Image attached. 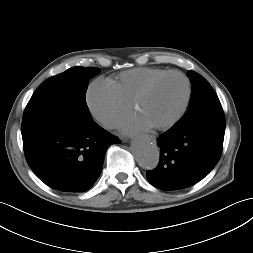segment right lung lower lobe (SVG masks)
Returning a JSON list of instances; mask_svg holds the SVG:
<instances>
[{"instance_id":"98d812e1","label":"right lung lower lobe","mask_w":253,"mask_h":253,"mask_svg":"<svg viewBox=\"0 0 253 253\" xmlns=\"http://www.w3.org/2000/svg\"><path fill=\"white\" fill-rule=\"evenodd\" d=\"M32 171L49 187L85 192L99 177L106 150L121 141L92 119L60 118L22 134Z\"/></svg>"}]
</instances>
